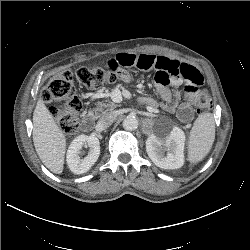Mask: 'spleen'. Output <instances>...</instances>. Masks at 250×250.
<instances>
[{
    "instance_id": "spleen-1",
    "label": "spleen",
    "mask_w": 250,
    "mask_h": 250,
    "mask_svg": "<svg viewBox=\"0 0 250 250\" xmlns=\"http://www.w3.org/2000/svg\"><path fill=\"white\" fill-rule=\"evenodd\" d=\"M215 139V121L211 113L198 116L188 140V161L197 163L209 153Z\"/></svg>"
}]
</instances>
